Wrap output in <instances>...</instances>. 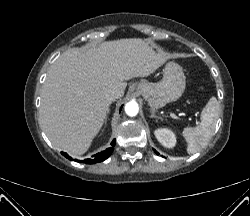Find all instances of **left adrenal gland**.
Here are the masks:
<instances>
[{
  "instance_id": "left-adrenal-gland-1",
  "label": "left adrenal gland",
  "mask_w": 250,
  "mask_h": 216,
  "mask_svg": "<svg viewBox=\"0 0 250 216\" xmlns=\"http://www.w3.org/2000/svg\"><path fill=\"white\" fill-rule=\"evenodd\" d=\"M150 112H151V118H155V119H162L160 116H157L156 114H155V112H154V110H150Z\"/></svg>"
}]
</instances>
